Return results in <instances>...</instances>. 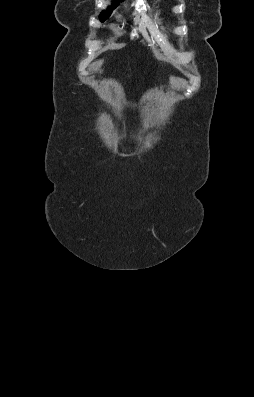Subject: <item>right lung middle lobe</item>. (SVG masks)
Wrapping results in <instances>:
<instances>
[{
	"instance_id": "1",
	"label": "right lung middle lobe",
	"mask_w": 254,
	"mask_h": 397,
	"mask_svg": "<svg viewBox=\"0 0 254 397\" xmlns=\"http://www.w3.org/2000/svg\"><path fill=\"white\" fill-rule=\"evenodd\" d=\"M117 6H118V4H117V3H114L113 6H112L111 8H108L106 11H103V12L100 14V20H101L102 22H104L106 19H108V18L110 17V14L112 13V9H113V8H116Z\"/></svg>"
}]
</instances>
